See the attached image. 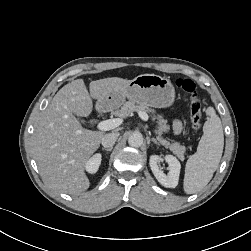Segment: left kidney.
Masks as SVG:
<instances>
[{
  "label": "left kidney",
  "instance_id": "5707ae66",
  "mask_svg": "<svg viewBox=\"0 0 251 251\" xmlns=\"http://www.w3.org/2000/svg\"><path fill=\"white\" fill-rule=\"evenodd\" d=\"M160 157L158 155H151L149 159L150 168L158 180V182L167 188H175L178 185L179 175L181 170V164L179 160L173 155H166L164 157L165 161L168 163L169 173L166 175L159 168Z\"/></svg>",
  "mask_w": 251,
  "mask_h": 251
}]
</instances>
